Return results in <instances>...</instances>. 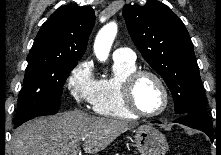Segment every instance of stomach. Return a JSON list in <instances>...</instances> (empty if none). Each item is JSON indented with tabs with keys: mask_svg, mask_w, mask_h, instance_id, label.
<instances>
[{
	"mask_svg": "<svg viewBox=\"0 0 221 155\" xmlns=\"http://www.w3.org/2000/svg\"><path fill=\"white\" fill-rule=\"evenodd\" d=\"M134 145L140 155H165L169 146L165 136L150 125L134 131Z\"/></svg>",
	"mask_w": 221,
	"mask_h": 155,
	"instance_id": "0dacf381",
	"label": "stomach"
}]
</instances>
